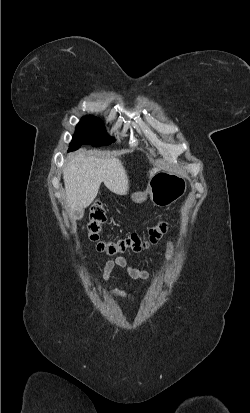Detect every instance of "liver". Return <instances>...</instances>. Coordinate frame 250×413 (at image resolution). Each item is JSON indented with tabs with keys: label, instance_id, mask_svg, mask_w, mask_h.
Segmentation results:
<instances>
[{
	"label": "liver",
	"instance_id": "1",
	"mask_svg": "<svg viewBox=\"0 0 250 413\" xmlns=\"http://www.w3.org/2000/svg\"><path fill=\"white\" fill-rule=\"evenodd\" d=\"M158 171V168H152L150 177ZM63 179L71 213L88 207L102 182L117 195H124L129 189L127 172L118 158L100 159L85 152L69 157L63 169Z\"/></svg>",
	"mask_w": 250,
	"mask_h": 413
}]
</instances>
